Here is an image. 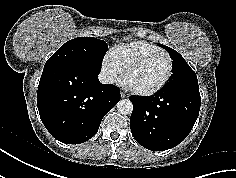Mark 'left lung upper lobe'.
I'll return each instance as SVG.
<instances>
[{
  "label": "left lung upper lobe",
  "mask_w": 236,
  "mask_h": 178,
  "mask_svg": "<svg viewBox=\"0 0 236 178\" xmlns=\"http://www.w3.org/2000/svg\"><path fill=\"white\" fill-rule=\"evenodd\" d=\"M159 46L166 49L173 60V75L170 78L171 81H198L195 72L186 63L185 59L175 50L159 44Z\"/></svg>",
  "instance_id": "left-lung-upper-lobe-1"
}]
</instances>
